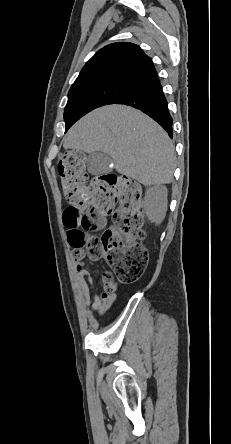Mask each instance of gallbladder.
I'll use <instances>...</instances> for the list:
<instances>
[{
	"label": "gallbladder",
	"mask_w": 231,
	"mask_h": 444,
	"mask_svg": "<svg viewBox=\"0 0 231 444\" xmlns=\"http://www.w3.org/2000/svg\"><path fill=\"white\" fill-rule=\"evenodd\" d=\"M110 157L103 152L90 153L87 160L88 172L92 175H101L109 171Z\"/></svg>",
	"instance_id": "gallbladder-1"
}]
</instances>
